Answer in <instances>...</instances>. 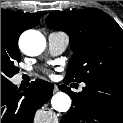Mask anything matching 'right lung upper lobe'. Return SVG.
Masks as SVG:
<instances>
[{"instance_id":"cb5924a9","label":"right lung upper lobe","mask_w":123,"mask_h":123,"mask_svg":"<svg viewBox=\"0 0 123 123\" xmlns=\"http://www.w3.org/2000/svg\"><path fill=\"white\" fill-rule=\"evenodd\" d=\"M37 13H21L6 9H1V23H10L18 36L39 22V19L44 15Z\"/></svg>"}]
</instances>
